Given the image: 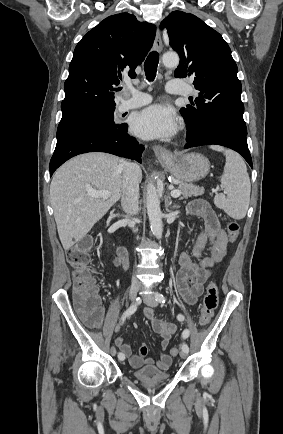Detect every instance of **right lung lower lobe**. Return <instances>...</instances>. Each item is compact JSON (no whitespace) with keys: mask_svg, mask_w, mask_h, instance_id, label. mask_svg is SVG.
Here are the masks:
<instances>
[{"mask_svg":"<svg viewBox=\"0 0 283 434\" xmlns=\"http://www.w3.org/2000/svg\"><path fill=\"white\" fill-rule=\"evenodd\" d=\"M127 127L91 128L70 134L57 141L50 161V177L68 159L87 152H106L117 156L135 159L141 163L144 146L135 138L129 137Z\"/></svg>","mask_w":283,"mask_h":434,"instance_id":"98d812e1","label":"right lung lower lobe"}]
</instances>
